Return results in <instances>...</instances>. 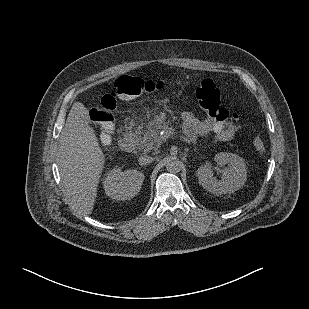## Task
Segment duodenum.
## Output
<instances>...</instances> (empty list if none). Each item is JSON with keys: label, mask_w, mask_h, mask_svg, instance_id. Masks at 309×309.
Returning a JSON list of instances; mask_svg holds the SVG:
<instances>
[{"label": "duodenum", "mask_w": 309, "mask_h": 309, "mask_svg": "<svg viewBox=\"0 0 309 309\" xmlns=\"http://www.w3.org/2000/svg\"><path fill=\"white\" fill-rule=\"evenodd\" d=\"M135 137L131 131L126 132L119 140V147L124 152H130L134 149Z\"/></svg>", "instance_id": "1"}]
</instances>
